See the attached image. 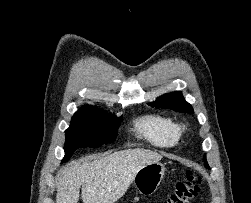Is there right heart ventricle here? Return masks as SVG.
<instances>
[{
  "instance_id": "1",
  "label": "right heart ventricle",
  "mask_w": 251,
  "mask_h": 203,
  "mask_svg": "<svg viewBox=\"0 0 251 203\" xmlns=\"http://www.w3.org/2000/svg\"><path fill=\"white\" fill-rule=\"evenodd\" d=\"M136 134L157 147L175 146L181 137L178 123L162 114H148L135 122Z\"/></svg>"
}]
</instances>
